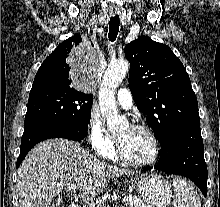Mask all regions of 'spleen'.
I'll return each mask as SVG.
<instances>
[{
	"mask_svg": "<svg viewBox=\"0 0 220 207\" xmlns=\"http://www.w3.org/2000/svg\"><path fill=\"white\" fill-rule=\"evenodd\" d=\"M173 186L175 197L173 207H201L198 193L185 180L174 178Z\"/></svg>",
	"mask_w": 220,
	"mask_h": 207,
	"instance_id": "spleen-1",
	"label": "spleen"
}]
</instances>
